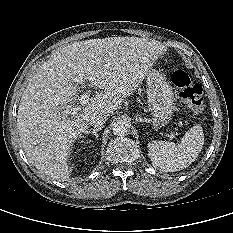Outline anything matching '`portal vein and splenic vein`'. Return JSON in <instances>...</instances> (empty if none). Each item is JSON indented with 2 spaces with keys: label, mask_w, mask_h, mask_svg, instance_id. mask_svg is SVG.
<instances>
[{
  "label": "portal vein and splenic vein",
  "mask_w": 233,
  "mask_h": 233,
  "mask_svg": "<svg viewBox=\"0 0 233 233\" xmlns=\"http://www.w3.org/2000/svg\"><path fill=\"white\" fill-rule=\"evenodd\" d=\"M75 82L79 83V84H84V78L81 75L76 76L73 79ZM80 104L81 105H85L88 103L89 101V91L84 92L80 98H79ZM81 109L80 106L78 107H71V106H67L66 110L63 111L64 114H76L79 110ZM171 139H175V136L173 134L170 135Z\"/></svg>",
  "instance_id": "1"
}]
</instances>
